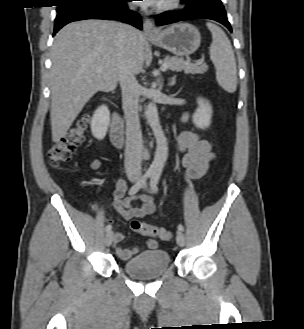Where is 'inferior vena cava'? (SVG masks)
<instances>
[{
	"label": "inferior vena cava",
	"mask_w": 304,
	"mask_h": 329,
	"mask_svg": "<svg viewBox=\"0 0 304 329\" xmlns=\"http://www.w3.org/2000/svg\"><path fill=\"white\" fill-rule=\"evenodd\" d=\"M131 31L132 27L129 25L120 26L119 34L123 56L119 63L118 78L122 89V106L126 117V174L130 179H139L141 177L143 151L142 133L138 115L140 85L133 72L131 60L127 55Z\"/></svg>",
	"instance_id": "obj_1"
}]
</instances>
